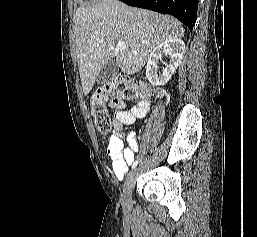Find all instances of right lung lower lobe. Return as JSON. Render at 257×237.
Listing matches in <instances>:
<instances>
[{
  "label": "right lung lower lobe",
  "mask_w": 257,
  "mask_h": 237,
  "mask_svg": "<svg viewBox=\"0 0 257 237\" xmlns=\"http://www.w3.org/2000/svg\"><path fill=\"white\" fill-rule=\"evenodd\" d=\"M127 5L170 14L186 25L190 31L197 18L199 0H120Z\"/></svg>",
  "instance_id": "obj_1"
}]
</instances>
